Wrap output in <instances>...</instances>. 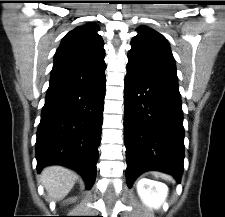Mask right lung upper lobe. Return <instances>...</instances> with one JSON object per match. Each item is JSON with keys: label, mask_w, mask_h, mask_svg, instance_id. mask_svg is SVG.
I'll return each instance as SVG.
<instances>
[{"label": "right lung upper lobe", "mask_w": 225, "mask_h": 217, "mask_svg": "<svg viewBox=\"0 0 225 217\" xmlns=\"http://www.w3.org/2000/svg\"><path fill=\"white\" fill-rule=\"evenodd\" d=\"M95 24L79 26L67 33L54 56L47 92L89 85L105 77L102 37Z\"/></svg>", "instance_id": "cb5924a9"}]
</instances>
